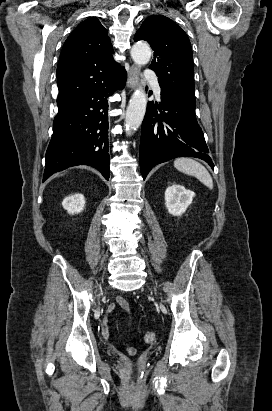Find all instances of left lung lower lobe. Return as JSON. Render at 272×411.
<instances>
[{"mask_svg":"<svg viewBox=\"0 0 272 411\" xmlns=\"http://www.w3.org/2000/svg\"><path fill=\"white\" fill-rule=\"evenodd\" d=\"M161 104L147 105L142 123L140 170L145 179L155 165L189 156L205 160L214 168L203 132L196 120L195 104L161 89Z\"/></svg>","mask_w":272,"mask_h":411,"instance_id":"0a47b994","label":"left lung lower lobe"}]
</instances>
